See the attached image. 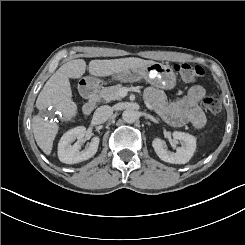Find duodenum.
<instances>
[{"label":"duodenum","mask_w":245,"mask_h":245,"mask_svg":"<svg viewBox=\"0 0 245 245\" xmlns=\"http://www.w3.org/2000/svg\"><path fill=\"white\" fill-rule=\"evenodd\" d=\"M82 93L85 96V98L87 99V101L85 102V104L83 106V113L85 115H90L96 107L97 90H96L95 86H93L91 84H85L82 87Z\"/></svg>","instance_id":"1"}]
</instances>
